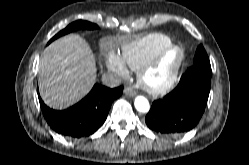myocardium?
<instances>
[{
	"label": "myocardium",
	"mask_w": 249,
	"mask_h": 165,
	"mask_svg": "<svg viewBox=\"0 0 249 165\" xmlns=\"http://www.w3.org/2000/svg\"><path fill=\"white\" fill-rule=\"evenodd\" d=\"M184 59V49L179 45H170L138 69L139 84L153 93L169 90L177 79Z\"/></svg>",
	"instance_id": "1"
}]
</instances>
